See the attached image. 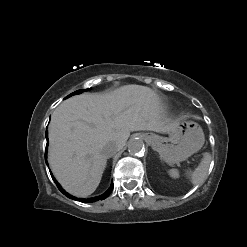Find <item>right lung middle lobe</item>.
Returning <instances> with one entry per match:
<instances>
[{
  "instance_id": "1",
  "label": "right lung middle lobe",
  "mask_w": 247,
  "mask_h": 247,
  "mask_svg": "<svg viewBox=\"0 0 247 247\" xmlns=\"http://www.w3.org/2000/svg\"><path fill=\"white\" fill-rule=\"evenodd\" d=\"M86 90H89V89H86ZM82 92H83V90H78V91H75L74 93L68 95L67 97H70L71 95L79 94V93H82Z\"/></svg>"
}]
</instances>
